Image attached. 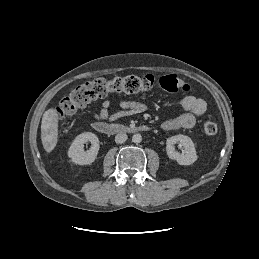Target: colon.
Wrapping results in <instances>:
<instances>
[{
	"label": "colon",
	"instance_id": "colon-1",
	"mask_svg": "<svg viewBox=\"0 0 259 259\" xmlns=\"http://www.w3.org/2000/svg\"><path fill=\"white\" fill-rule=\"evenodd\" d=\"M155 89L164 90L169 93H186L190 91V85L176 75H166L155 77L153 75H128L116 77L110 80L103 78L86 81L78 85L66 97H64L56 112L60 118H65L76 114L84 109L92 101L104 98L110 93H140ZM217 124L208 119L203 124V132L207 136L217 133Z\"/></svg>",
	"mask_w": 259,
	"mask_h": 259
}]
</instances>
